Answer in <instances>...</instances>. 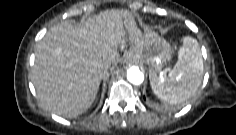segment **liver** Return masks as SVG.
Returning a JSON list of instances; mask_svg holds the SVG:
<instances>
[{
	"label": "liver",
	"instance_id": "obj_1",
	"mask_svg": "<svg viewBox=\"0 0 236 135\" xmlns=\"http://www.w3.org/2000/svg\"><path fill=\"white\" fill-rule=\"evenodd\" d=\"M143 39L127 10H106L78 26H53L35 49L32 82L39 102L64 117L85 112L111 63L119 62L118 48L137 51Z\"/></svg>",
	"mask_w": 236,
	"mask_h": 135
}]
</instances>
